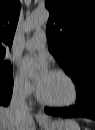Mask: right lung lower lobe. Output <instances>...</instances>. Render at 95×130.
I'll return each mask as SVG.
<instances>
[{
  "mask_svg": "<svg viewBox=\"0 0 95 130\" xmlns=\"http://www.w3.org/2000/svg\"><path fill=\"white\" fill-rule=\"evenodd\" d=\"M13 82L0 86V104L3 106H7L10 102L12 96Z\"/></svg>",
  "mask_w": 95,
  "mask_h": 130,
  "instance_id": "obj_1",
  "label": "right lung lower lobe"
}]
</instances>
